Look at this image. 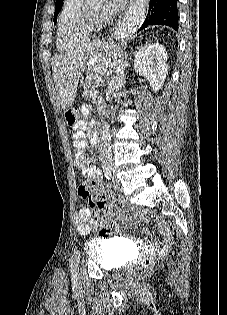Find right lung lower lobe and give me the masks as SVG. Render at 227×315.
<instances>
[{
	"mask_svg": "<svg viewBox=\"0 0 227 315\" xmlns=\"http://www.w3.org/2000/svg\"><path fill=\"white\" fill-rule=\"evenodd\" d=\"M148 25H167L178 30L177 0H150L148 14L140 30Z\"/></svg>",
	"mask_w": 227,
	"mask_h": 315,
	"instance_id": "1",
	"label": "right lung lower lobe"
}]
</instances>
